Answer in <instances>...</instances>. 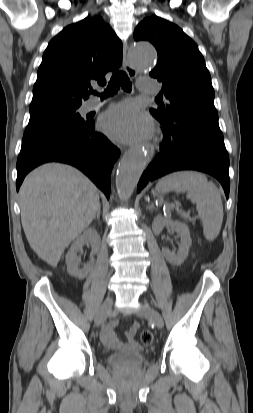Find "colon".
I'll return each mask as SVG.
<instances>
[{"mask_svg":"<svg viewBox=\"0 0 253 413\" xmlns=\"http://www.w3.org/2000/svg\"><path fill=\"white\" fill-rule=\"evenodd\" d=\"M154 340V335L150 330H143L140 334V341L144 345H150Z\"/></svg>","mask_w":253,"mask_h":413,"instance_id":"1","label":"colon"}]
</instances>
